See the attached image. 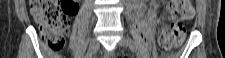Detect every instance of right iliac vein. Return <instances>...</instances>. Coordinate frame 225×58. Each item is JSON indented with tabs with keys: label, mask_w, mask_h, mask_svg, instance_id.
Wrapping results in <instances>:
<instances>
[{
	"label": "right iliac vein",
	"mask_w": 225,
	"mask_h": 58,
	"mask_svg": "<svg viewBox=\"0 0 225 58\" xmlns=\"http://www.w3.org/2000/svg\"><path fill=\"white\" fill-rule=\"evenodd\" d=\"M98 48H99V42L95 38L92 39L90 41V44H89V47H88L86 58H91L92 55L96 53Z\"/></svg>",
	"instance_id": "obj_1"
}]
</instances>
